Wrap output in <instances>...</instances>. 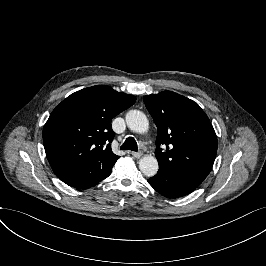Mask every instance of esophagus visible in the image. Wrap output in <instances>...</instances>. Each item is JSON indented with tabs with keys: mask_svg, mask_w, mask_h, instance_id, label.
<instances>
[{
	"mask_svg": "<svg viewBox=\"0 0 266 266\" xmlns=\"http://www.w3.org/2000/svg\"><path fill=\"white\" fill-rule=\"evenodd\" d=\"M131 154H132L133 157H135L137 159L140 158L143 155L142 152H135V151L132 152Z\"/></svg>",
	"mask_w": 266,
	"mask_h": 266,
	"instance_id": "34e87169",
	"label": "esophagus"
}]
</instances>
